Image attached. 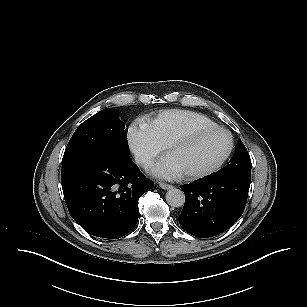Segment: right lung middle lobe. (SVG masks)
Wrapping results in <instances>:
<instances>
[{
	"label": "right lung middle lobe",
	"instance_id": "1",
	"mask_svg": "<svg viewBox=\"0 0 307 307\" xmlns=\"http://www.w3.org/2000/svg\"><path fill=\"white\" fill-rule=\"evenodd\" d=\"M99 151L128 154L127 129L115 109L101 110L79 125L65 149L62 165Z\"/></svg>",
	"mask_w": 307,
	"mask_h": 307
}]
</instances>
